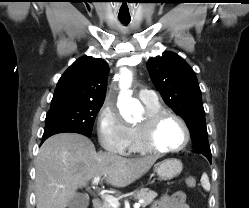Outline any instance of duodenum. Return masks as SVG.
Wrapping results in <instances>:
<instances>
[{
    "label": "duodenum",
    "mask_w": 249,
    "mask_h": 208,
    "mask_svg": "<svg viewBox=\"0 0 249 208\" xmlns=\"http://www.w3.org/2000/svg\"><path fill=\"white\" fill-rule=\"evenodd\" d=\"M102 205V200L99 196H95L92 199V207L93 208H100V206Z\"/></svg>",
    "instance_id": "1"
}]
</instances>
